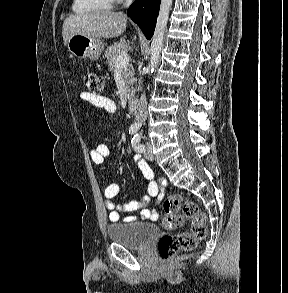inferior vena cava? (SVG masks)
<instances>
[{
	"label": "inferior vena cava",
	"mask_w": 288,
	"mask_h": 293,
	"mask_svg": "<svg viewBox=\"0 0 288 293\" xmlns=\"http://www.w3.org/2000/svg\"><path fill=\"white\" fill-rule=\"evenodd\" d=\"M132 0H126L125 6L129 7ZM147 119V100L145 94H141L138 104L137 122L139 125L145 124Z\"/></svg>",
	"instance_id": "602c4592"
}]
</instances>
